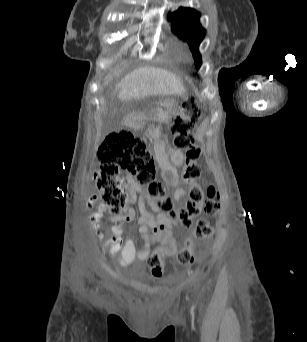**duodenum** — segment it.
<instances>
[{
    "instance_id": "410a0bca",
    "label": "duodenum",
    "mask_w": 307,
    "mask_h": 342,
    "mask_svg": "<svg viewBox=\"0 0 307 342\" xmlns=\"http://www.w3.org/2000/svg\"><path fill=\"white\" fill-rule=\"evenodd\" d=\"M121 123L123 124L124 128H131L132 123H133V118L132 117H122Z\"/></svg>"
}]
</instances>
